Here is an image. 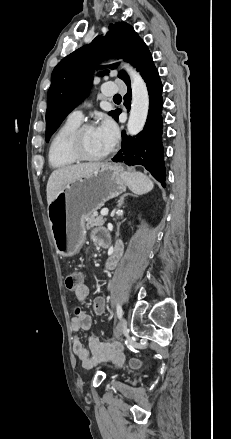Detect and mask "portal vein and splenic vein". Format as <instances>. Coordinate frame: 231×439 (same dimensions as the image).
Returning a JSON list of instances; mask_svg holds the SVG:
<instances>
[{
    "label": "portal vein and splenic vein",
    "instance_id": "portal-vein-and-splenic-vein-1",
    "mask_svg": "<svg viewBox=\"0 0 231 439\" xmlns=\"http://www.w3.org/2000/svg\"><path fill=\"white\" fill-rule=\"evenodd\" d=\"M101 215H102V216H106V215H108V209H107V208L102 209V210H101Z\"/></svg>",
    "mask_w": 231,
    "mask_h": 439
}]
</instances>
